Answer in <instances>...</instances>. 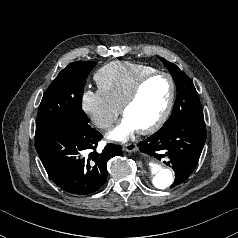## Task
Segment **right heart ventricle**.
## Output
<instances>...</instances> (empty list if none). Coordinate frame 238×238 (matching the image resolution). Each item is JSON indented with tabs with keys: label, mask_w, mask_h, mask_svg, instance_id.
<instances>
[{
	"label": "right heart ventricle",
	"mask_w": 238,
	"mask_h": 238,
	"mask_svg": "<svg viewBox=\"0 0 238 238\" xmlns=\"http://www.w3.org/2000/svg\"><path fill=\"white\" fill-rule=\"evenodd\" d=\"M155 71V68L145 64L113 61L101 67L94 80L106 98L120 108L137 81Z\"/></svg>",
	"instance_id": "1"
}]
</instances>
